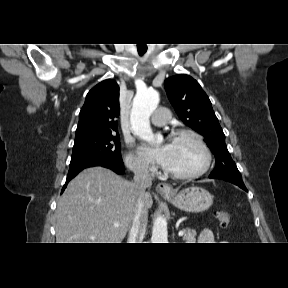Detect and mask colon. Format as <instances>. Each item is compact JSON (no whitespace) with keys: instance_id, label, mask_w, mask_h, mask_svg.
<instances>
[{"instance_id":"obj_1","label":"colon","mask_w":288,"mask_h":288,"mask_svg":"<svg viewBox=\"0 0 288 288\" xmlns=\"http://www.w3.org/2000/svg\"><path fill=\"white\" fill-rule=\"evenodd\" d=\"M219 226L221 228H226L231 222V215L226 211H220L216 214Z\"/></svg>"}]
</instances>
